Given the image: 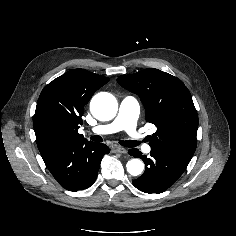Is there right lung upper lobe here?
<instances>
[{"mask_svg":"<svg viewBox=\"0 0 236 236\" xmlns=\"http://www.w3.org/2000/svg\"><path fill=\"white\" fill-rule=\"evenodd\" d=\"M108 81V77L73 69L43 88L33 122L40 152L73 140H86L78 133L84 106Z\"/></svg>","mask_w":236,"mask_h":236,"instance_id":"cb5924a9","label":"right lung upper lobe"}]
</instances>
